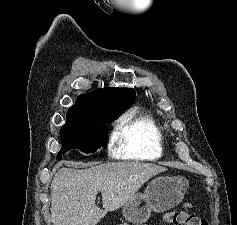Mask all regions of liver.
Wrapping results in <instances>:
<instances>
[{
  "instance_id": "liver-1",
  "label": "liver",
  "mask_w": 237,
  "mask_h": 225,
  "mask_svg": "<svg viewBox=\"0 0 237 225\" xmlns=\"http://www.w3.org/2000/svg\"><path fill=\"white\" fill-rule=\"evenodd\" d=\"M141 162H110L87 169L61 168L51 190L53 225H96L107 212L122 207L150 178L166 171ZM103 209L96 206L98 192Z\"/></svg>"
}]
</instances>
